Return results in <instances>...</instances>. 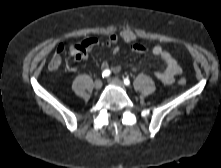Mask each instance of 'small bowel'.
<instances>
[{"label":"small bowel","instance_id":"1","mask_svg":"<svg viewBox=\"0 0 221 168\" xmlns=\"http://www.w3.org/2000/svg\"><path fill=\"white\" fill-rule=\"evenodd\" d=\"M119 39L120 38L117 34H112L110 35L108 42L110 44H116ZM128 44H130V49L135 53L143 54L148 51V48L144 44L136 42ZM79 46H80L79 44H72L70 48L74 49ZM119 50H120L119 47L115 46L112 52L113 54H118ZM151 53L154 56L160 58L166 65L163 71H158L155 73L156 77L164 84H172L175 81V77L182 72L181 66L178 64L176 59L168 51L164 50L161 46L158 45L154 46L151 49ZM86 59H87L86 52L82 53L79 57L76 58V60H86ZM101 67L104 70L111 69L113 73H119L121 70L120 65H115L113 67H110L109 62L107 61H103Z\"/></svg>","mask_w":221,"mask_h":168}]
</instances>
